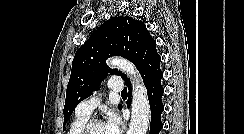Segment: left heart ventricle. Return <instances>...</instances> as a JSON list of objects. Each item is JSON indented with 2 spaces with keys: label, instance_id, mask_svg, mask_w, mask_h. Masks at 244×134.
I'll return each instance as SVG.
<instances>
[{
  "label": "left heart ventricle",
  "instance_id": "obj_1",
  "mask_svg": "<svg viewBox=\"0 0 244 134\" xmlns=\"http://www.w3.org/2000/svg\"><path fill=\"white\" fill-rule=\"evenodd\" d=\"M90 134H107L104 124L96 125L93 127Z\"/></svg>",
  "mask_w": 244,
  "mask_h": 134
}]
</instances>
